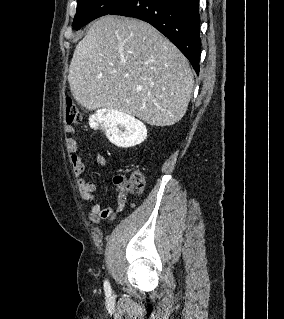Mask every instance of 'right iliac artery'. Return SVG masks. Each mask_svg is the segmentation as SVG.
Listing matches in <instances>:
<instances>
[{"instance_id":"obj_1","label":"right iliac artery","mask_w":284,"mask_h":319,"mask_svg":"<svg viewBox=\"0 0 284 319\" xmlns=\"http://www.w3.org/2000/svg\"><path fill=\"white\" fill-rule=\"evenodd\" d=\"M104 290H105V293L107 295H110L111 293V287H110V284L107 280L104 281Z\"/></svg>"}]
</instances>
